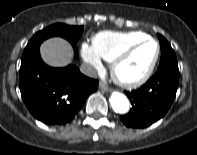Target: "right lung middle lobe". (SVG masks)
Listing matches in <instances>:
<instances>
[{"mask_svg": "<svg viewBox=\"0 0 197 155\" xmlns=\"http://www.w3.org/2000/svg\"><path fill=\"white\" fill-rule=\"evenodd\" d=\"M82 32L83 26H69L62 23H55L53 25H50L49 27H46L43 30L37 32L30 39L24 49L22 60L26 59L32 53L39 50V47L44 40L54 36H60L68 40L76 51V43L81 37Z\"/></svg>", "mask_w": 197, "mask_h": 155, "instance_id": "right-lung-middle-lobe-1", "label": "right lung middle lobe"}]
</instances>
